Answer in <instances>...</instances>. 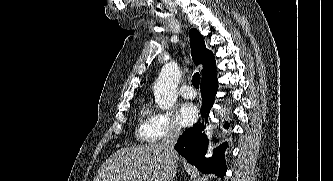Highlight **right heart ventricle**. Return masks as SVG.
<instances>
[{
  "label": "right heart ventricle",
  "instance_id": "1",
  "mask_svg": "<svg viewBox=\"0 0 333 181\" xmlns=\"http://www.w3.org/2000/svg\"><path fill=\"white\" fill-rule=\"evenodd\" d=\"M155 113L148 104H143L139 109V124L137 128V136L141 140L154 141L151 132V122Z\"/></svg>",
  "mask_w": 333,
  "mask_h": 181
}]
</instances>
